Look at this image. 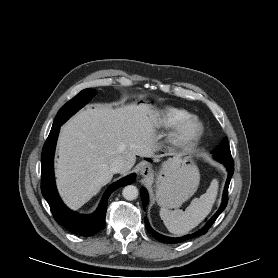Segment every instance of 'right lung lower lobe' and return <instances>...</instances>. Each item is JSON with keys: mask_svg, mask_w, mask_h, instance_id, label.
<instances>
[{"mask_svg": "<svg viewBox=\"0 0 278 278\" xmlns=\"http://www.w3.org/2000/svg\"><path fill=\"white\" fill-rule=\"evenodd\" d=\"M61 125L52 126L50 134L43 146L41 157V191L49 203L55 220L68 231L81 235L92 236L105 227L108 198L121 186L132 184L135 174L127 176L112 184L105 192L102 201L94 214L80 215L69 210L61 201L55 186L53 174V157L55 145Z\"/></svg>", "mask_w": 278, "mask_h": 278, "instance_id": "right-lung-lower-lobe-1", "label": "right lung lower lobe"}]
</instances>
